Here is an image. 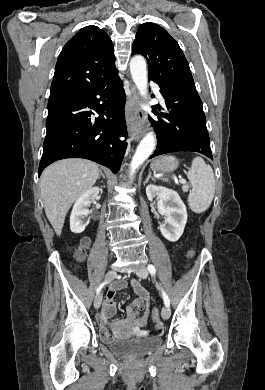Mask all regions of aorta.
I'll list each match as a JSON object with an SVG mask.
<instances>
[{
  "label": "aorta",
  "mask_w": 265,
  "mask_h": 390,
  "mask_svg": "<svg viewBox=\"0 0 265 390\" xmlns=\"http://www.w3.org/2000/svg\"><path fill=\"white\" fill-rule=\"evenodd\" d=\"M130 72L132 79L139 91V94L147 99L148 97V78L146 60L141 55L134 56L130 61ZM155 136L153 132H149L139 143L135 154L130 163V177L144 161L152 154L155 148Z\"/></svg>",
  "instance_id": "762f6f07"
}]
</instances>
